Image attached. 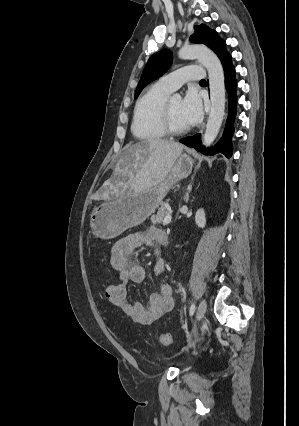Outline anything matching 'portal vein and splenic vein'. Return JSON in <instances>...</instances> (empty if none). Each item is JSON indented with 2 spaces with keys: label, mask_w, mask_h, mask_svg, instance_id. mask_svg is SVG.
<instances>
[{
  "label": "portal vein and splenic vein",
  "mask_w": 299,
  "mask_h": 426,
  "mask_svg": "<svg viewBox=\"0 0 299 426\" xmlns=\"http://www.w3.org/2000/svg\"><path fill=\"white\" fill-rule=\"evenodd\" d=\"M171 219H172L171 215H170V214H168V215L164 218V220H163V224H169V223L171 222Z\"/></svg>",
  "instance_id": "portal-vein-and-splenic-vein-1"
}]
</instances>
